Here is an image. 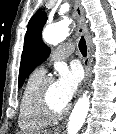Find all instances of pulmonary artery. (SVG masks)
<instances>
[{
    "mask_svg": "<svg viewBox=\"0 0 116 134\" xmlns=\"http://www.w3.org/2000/svg\"><path fill=\"white\" fill-rule=\"evenodd\" d=\"M73 50L74 46L72 44L70 43L63 44L54 51L52 58L57 60L64 59L69 55H71ZM38 70L41 71L42 73H45L46 71L45 66H41Z\"/></svg>",
    "mask_w": 116,
    "mask_h": 134,
    "instance_id": "pulmonary-artery-1",
    "label": "pulmonary artery"
}]
</instances>
